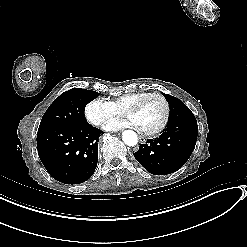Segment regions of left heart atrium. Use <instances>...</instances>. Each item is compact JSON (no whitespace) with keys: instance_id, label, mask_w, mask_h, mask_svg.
<instances>
[{"instance_id":"1","label":"left heart atrium","mask_w":247,"mask_h":247,"mask_svg":"<svg viewBox=\"0 0 247 247\" xmlns=\"http://www.w3.org/2000/svg\"><path fill=\"white\" fill-rule=\"evenodd\" d=\"M130 126L138 128L133 117H128L126 119L119 120L118 122L111 125L110 129L116 130V129H120V128H124V127H130Z\"/></svg>"}]
</instances>
